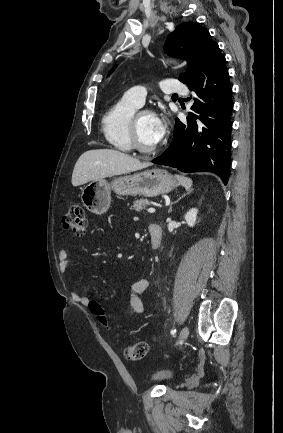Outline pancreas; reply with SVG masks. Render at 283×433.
Masks as SVG:
<instances>
[{"label": "pancreas", "instance_id": "cf45deb5", "mask_svg": "<svg viewBox=\"0 0 283 433\" xmlns=\"http://www.w3.org/2000/svg\"><path fill=\"white\" fill-rule=\"evenodd\" d=\"M150 200L148 198H139V200H134L131 208H134V210H137V212H140V210H143V208H146L147 204H149Z\"/></svg>", "mask_w": 283, "mask_h": 433}]
</instances>
